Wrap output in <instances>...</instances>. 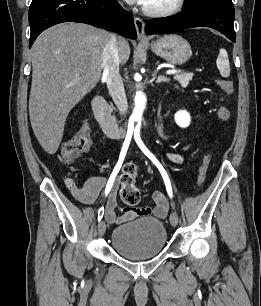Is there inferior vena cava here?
Listing matches in <instances>:
<instances>
[{"mask_svg":"<svg viewBox=\"0 0 261 306\" xmlns=\"http://www.w3.org/2000/svg\"><path fill=\"white\" fill-rule=\"evenodd\" d=\"M119 62L117 37L113 34L103 52V79L107 83L109 94L120 115L126 116L128 104L123 81L119 74Z\"/></svg>","mask_w":261,"mask_h":306,"instance_id":"inferior-vena-cava-1","label":"inferior vena cava"}]
</instances>
